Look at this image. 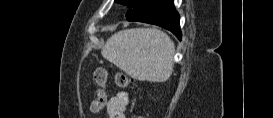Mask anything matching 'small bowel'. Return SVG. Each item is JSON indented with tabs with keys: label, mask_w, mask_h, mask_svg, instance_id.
<instances>
[{
	"label": "small bowel",
	"mask_w": 273,
	"mask_h": 118,
	"mask_svg": "<svg viewBox=\"0 0 273 118\" xmlns=\"http://www.w3.org/2000/svg\"><path fill=\"white\" fill-rule=\"evenodd\" d=\"M128 101L129 97L126 92H119L116 96H113L107 104L109 118H125Z\"/></svg>",
	"instance_id": "c3829d8e"
}]
</instances>
